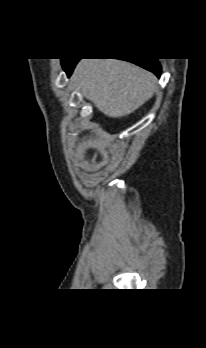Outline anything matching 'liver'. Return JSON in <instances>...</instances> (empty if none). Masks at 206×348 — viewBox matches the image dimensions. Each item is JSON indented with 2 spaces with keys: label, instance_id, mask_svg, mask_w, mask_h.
<instances>
[{
  "label": "liver",
  "instance_id": "1",
  "mask_svg": "<svg viewBox=\"0 0 206 348\" xmlns=\"http://www.w3.org/2000/svg\"><path fill=\"white\" fill-rule=\"evenodd\" d=\"M72 80L84 97L112 118L131 114L157 91L151 72L116 59H82Z\"/></svg>",
  "mask_w": 206,
  "mask_h": 348
}]
</instances>
